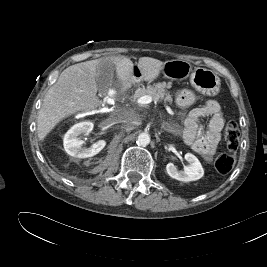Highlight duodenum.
I'll list each match as a JSON object with an SVG mask.
<instances>
[{"label": "duodenum", "instance_id": "obj_1", "mask_svg": "<svg viewBox=\"0 0 267 267\" xmlns=\"http://www.w3.org/2000/svg\"><path fill=\"white\" fill-rule=\"evenodd\" d=\"M128 87H129V83H127V84H125V85L123 86V90H127Z\"/></svg>", "mask_w": 267, "mask_h": 267}]
</instances>
